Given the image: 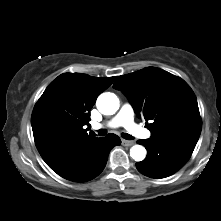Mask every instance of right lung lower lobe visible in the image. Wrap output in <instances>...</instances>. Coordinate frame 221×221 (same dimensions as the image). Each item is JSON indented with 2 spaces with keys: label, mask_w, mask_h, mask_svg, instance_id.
I'll return each instance as SVG.
<instances>
[{
  "label": "right lung lower lobe",
  "mask_w": 221,
  "mask_h": 221,
  "mask_svg": "<svg viewBox=\"0 0 221 221\" xmlns=\"http://www.w3.org/2000/svg\"><path fill=\"white\" fill-rule=\"evenodd\" d=\"M120 143L117 135L108 134L54 154L44 161L61 177L73 182H86L103 171L110 150Z\"/></svg>",
  "instance_id": "right-lung-lower-lobe-1"
}]
</instances>
